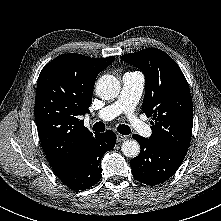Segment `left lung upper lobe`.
<instances>
[{"instance_id":"1","label":"left lung upper lobe","mask_w":221,"mask_h":221,"mask_svg":"<svg viewBox=\"0 0 221 221\" xmlns=\"http://www.w3.org/2000/svg\"><path fill=\"white\" fill-rule=\"evenodd\" d=\"M121 59L146 78L142 109L153 117L154 144L187 153L193 126V104L187 80L177 63L160 49L147 48Z\"/></svg>"}]
</instances>
